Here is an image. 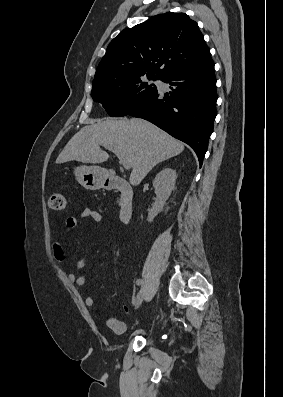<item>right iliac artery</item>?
Wrapping results in <instances>:
<instances>
[{
	"label": "right iliac artery",
	"instance_id": "obj_1",
	"mask_svg": "<svg viewBox=\"0 0 283 397\" xmlns=\"http://www.w3.org/2000/svg\"><path fill=\"white\" fill-rule=\"evenodd\" d=\"M138 285H140L142 282H141V280H137V282H136Z\"/></svg>",
	"mask_w": 283,
	"mask_h": 397
}]
</instances>
